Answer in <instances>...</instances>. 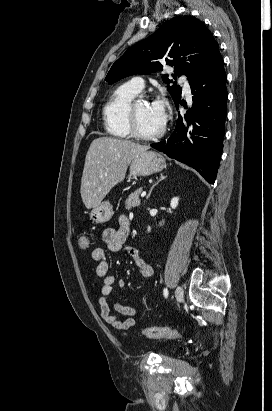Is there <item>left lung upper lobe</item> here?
<instances>
[{"label": "left lung upper lobe", "mask_w": 272, "mask_h": 411, "mask_svg": "<svg viewBox=\"0 0 272 411\" xmlns=\"http://www.w3.org/2000/svg\"><path fill=\"white\" fill-rule=\"evenodd\" d=\"M218 47L212 33L199 19L174 17L150 37L129 48L113 64L105 80L113 84L133 74H149L162 69L165 63L174 67V78L185 74L190 83L211 61ZM162 80L177 103L181 99V87L175 86L168 75H163Z\"/></svg>", "instance_id": "left-lung-upper-lobe-1"}]
</instances>
